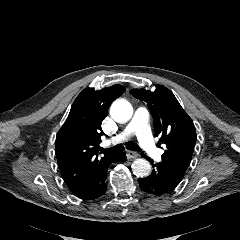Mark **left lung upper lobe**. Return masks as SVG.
Here are the masks:
<instances>
[{"instance_id":"5c2ea615","label":"left lung upper lobe","mask_w":240,"mask_h":240,"mask_svg":"<svg viewBox=\"0 0 240 240\" xmlns=\"http://www.w3.org/2000/svg\"><path fill=\"white\" fill-rule=\"evenodd\" d=\"M130 93L144 101L149 107L160 143L166 145L162 162L184 175L190 165L196 142V131L192 119L173 93L163 85L155 91L133 89Z\"/></svg>"}]
</instances>
